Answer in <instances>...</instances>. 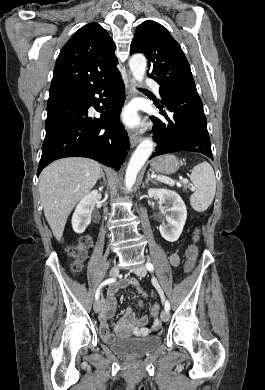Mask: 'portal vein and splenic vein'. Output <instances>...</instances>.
I'll return each mask as SVG.
<instances>
[{
	"mask_svg": "<svg viewBox=\"0 0 265 390\" xmlns=\"http://www.w3.org/2000/svg\"><path fill=\"white\" fill-rule=\"evenodd\" d=\"M157 180L163 182V183H166V184H169L171 186L175 185V181L169 177H164V176H158L157 177ZM183 183H188L187 180H183L182 181Z\"/></svg>",
	"mask_w": 265,
	"mask_h": 390,
	"instance_id": "18ae733b",
	"label": "portal vein and splenic vein"
}]
</instances>
